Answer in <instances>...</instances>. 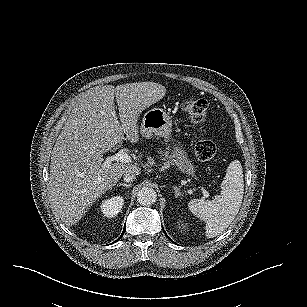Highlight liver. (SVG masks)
I'll use <instances>...</instances> for the list:
<instances>
[{
	"instance_id": "6515ba94",
	"label": "liver",
	"mask_w": 307,
	"mask_h": 307,
	"mask_svg": "<svg viewBox=\"0 0 307 307\" xmlns=\"http://www.w3.org/2000/svg\"><path fill=\"white\" fill-rule=\"evenodd\" d=\"M164 94L163 85L148 81L95 86L79 96L53 147L48 177L52 210L65 224H74L127 171L140 174L134 163L101 169L102 154L124 139L136 142L137 115Z\"/></svg>"
}]
</instances>
